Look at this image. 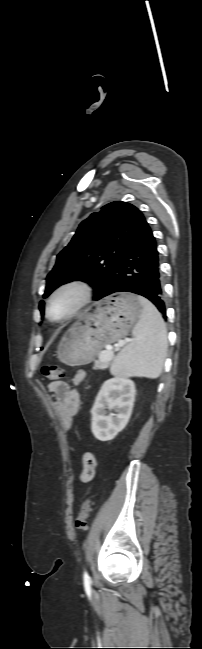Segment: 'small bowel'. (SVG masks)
Returning a JSON list of instances; mask_svg holds the SVG:
<instances>
[{"instance_id": "1", "label": "small bowel", "mask_w": 202, "mask_h": 649, "mask_svg": "<svg viewBox=\"0 0 202 649\" xmlns=\"http://www.w3.org/2000/svg\"><path fill=\"white\" fill-rule=\"evenodd\" d=\"M84 373L77 372L72 378V386L64 381H55L49 384V390L53 394V407L65 430L69 431L73 425V419L80 406V395L77 387L83 382ZM74 451V450H72ZM96 460L91 453L83 456V470L80 475L82 482H90L95 475Z\"/></svg>"}]
</instances>
